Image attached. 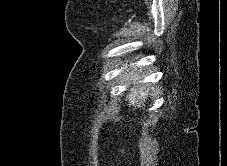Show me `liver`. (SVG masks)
I'll list each match as a JSON object with an SVG mask.
<instances>
[{"label": "liver", "mask_w": 227, "mask_h": 166, "mask_svg": "<svg viewBox=\"0 0 227 166\" xmlns=\"http://www.w3.org/2000/svg\"><path fill=\"white\" fill-rule=\"evenodd\" d=\"M127 74H124V78H127ZM139 75H131L130 81H135L140 79ZM149 86L148 85H140L137 88H131L129 94L126 96V101H128L129 106L136 108H141L144 103L146 102L149 93Z\"/></svg>", "instance_id": "obj_1"}]
</instances>
